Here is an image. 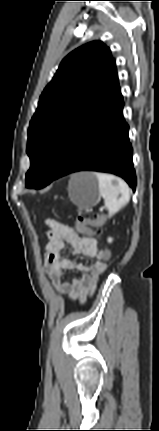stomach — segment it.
<instances>
[{"label": "stomach", "mask_w": 159, "mask_h": 431, "mask_svg": "<svg viewBox=\"0 0 159 431\" xmlns=\"http://www.w3.org/2000/svg\"><path fill=\"white\" fill-rule=\"evenodd\" d=\"M71 200L81 208L96 205L100 200L99 182L92 172H81L71 177L69 186Z\"/></svg>", "instance_id": "0dacf381"}]
</instances>
